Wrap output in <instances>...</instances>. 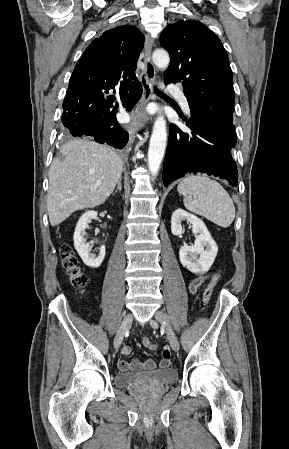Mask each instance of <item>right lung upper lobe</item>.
<instances>
[{
    "instance_id": "obj_1",
    "label": "right lung upper lobe",
    "mask_w": 289,
    "mask_h": 449,
    "mask_svg": "<svg viewBox=\"0 0 289 449\" xmlns=\"http://www.w3.org/2000/svg\"><path fill=\"white\" fill-rule=\"evenodd\" d=\"M143 42L142 33L130 25L105 31L87 47L72 76L114 85L132 81Z\"/></svg>"
}]
</instances>
